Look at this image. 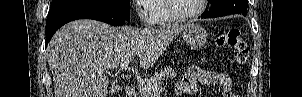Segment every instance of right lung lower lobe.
<instances>
[{"mask_svg":"<svg viewBox=\"0 0 302 97\" xmlns=\"http://www.w3.org/2000/svg\"><path fill=\"white\" fill-rule=\"evenodd\" d=\"M77 19H94L110 25H122L126 19L102 7L81 6L48 13L46 20V46L53 34L64 24Z\"/></svg>","mask_w":302,"mask_h":97,"instance_id":"98d812e1","label":"right lung lower lobe"}]
</instances>
